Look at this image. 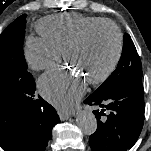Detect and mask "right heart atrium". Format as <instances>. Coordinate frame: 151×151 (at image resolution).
I'll return each instance as SVG.
<instances>
[{
  "label": "right heart atrium",
  "instance_id": "obj_1",
  "mask_svg": "<svg viewBox=\"0 0 151 151\" xmlns=\"http://www.w3.org/2000/svg\"><path fill=\"white\" fill-rule=\"evenodd\" d=\"M29 67L40 71L53 67L61 59V51L43 37L30 36L24 48Z\"/></svg>",
  "mask_w": 151,
  "mask_h": 151
}]
</instances>
